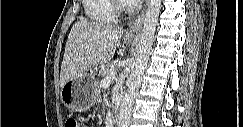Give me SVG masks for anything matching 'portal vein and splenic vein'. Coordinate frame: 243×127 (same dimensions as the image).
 I'll list each match as a JSON object with an SVG mask.
<instances>
[{
	"label": "portal vein and splenic vein",
	"mask_w": 243,
	"mask_h": 127,
	"mask_svg": "<svg viewBox=\"0 0 243 127\" xmlns=\"http://www.w3.org/2000/svg\"><path fill=\"white\" fill-rule=\"evenodd\" d=\"M118 75V72L117 71H113L110 73V76L107 77L106 79H104L103 81H101V86L103 87H107L109 86V84L111 83V81L114 80V78Z\"/></svg>",
	"instance_id": "obj_1"
}]
</instances>
